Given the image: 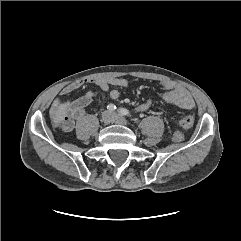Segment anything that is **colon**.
Listing matches in <instances>:
<instances>
[{
    "instance_id": "obj_1",
    "label": "colon",
    "mask_w": 241,
    "mask_h": 241,
    "mask_svg": "<svg viewBox=\"0 0 241 241\" xmlns=\"http://www.w3.org/2000/svg\"><path fill=\"white\" fill-rule=\"evenodd\" d=\"M153 102L151 100H146L144 102L139 103L136 106V111L139 113H147L152 111ZM51 117L53 122L60 128L64 129L65 127H69L72 123V116L70 115L69 111L65 108H62L57 103L51 110ZM194 117L192 115L183 117L179 121L180 127L187 129L193 126L194 124ZM173 141L180 142L183 140V134L179 131L175 132L172 136Z\"/></svg>"
}]
</instances>
